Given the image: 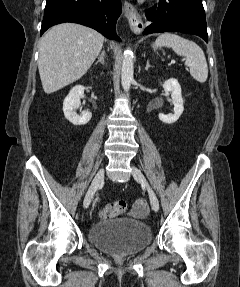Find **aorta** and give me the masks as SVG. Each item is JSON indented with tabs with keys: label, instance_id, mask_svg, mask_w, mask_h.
Segmentation results:
<instances>
[{
	"label": "aorta",
	"instance_id": "1",
	"mask_svg": "<svg viewBox=\"0 0 240 287\" xmlns=\"http://www.w3.org/2000/svg\"><path fill=\"white\" fill-rule=\"evenodd\" d=\"M133 53L130 49H126L123 54L122 68H121V84L123 90L128 92L133 81Z\"/></svg>",
	"mask_w": 240,
	"mask_h": 287
}]
</instances>
